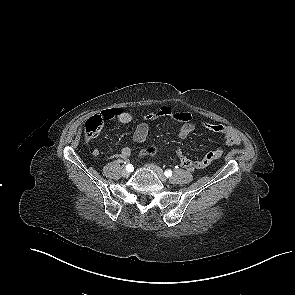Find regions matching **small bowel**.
<instances>
[{
  "mask_svg": "<svg viewBox=\"0 0 295 295\" xmlns=\"http://www.w3.org/2000/svg\"><path fill=\"white\" fill-rule=\"evenodd\" d=\"M103 121L117 120L120 123L127 124L133 121L134 115L123 108H112L103 110L98 115ZM160 117H169L172 120L181 124L178 136L181 139L188 138L196 128V120L194 116L187 111L176 110L171 106H163L156 111H150L144 114V121L137 125L134 133L133 140L137 143L145 142L149 133L150 123ZM203 126L214 133H218L225 138V141L230 146H236L241 143L239 135L229 126L204 122ZM223 152L219 149L208 152L204 157L199 160H192L183 155L180 150H177V155L181 167L193 171L195 169H204L208 167L213 161L219 159ZM94 156H99L100 151L95 149ZM131 155V149L128 145L124 146L121 151V158L127 160Z\"/></svg>",
  "mask_w": 295,
  "mask_h": 295,
  "instance_id": "1",
  "label": "small bowel"
}]
</instances>
